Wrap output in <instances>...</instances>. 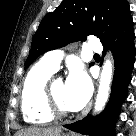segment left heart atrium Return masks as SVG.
<instances>
[{
    "instance_id": "obj_1",
    "label": "left heart atrium",
    "mask_w": 136,
    "mask_h": 136,
    "mask_svg": "<svg viewBox=\"0 0 136 136\" xmlns=\"http://www.w3.org/2000/svg\"><path fill=\"white\" fill-rule=\"evenodd\" d=\"M92 93V83L87 73L81 68L71 70L65 82V99L72 110L81 109Z\"/></svg>"
}]
</instances>
